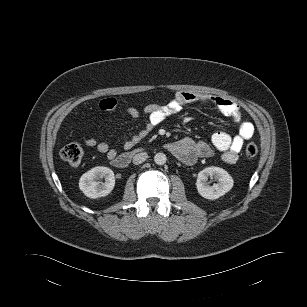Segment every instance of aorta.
Instances as JSON below:
<instances>
[{
  "label": "aorta",
  "instance_id": "762f6f07",
  "mask_svg": "<svg viewBox=\"0 0 307 307\" xmlns=\"http://www.w3.org/2000/svg\"><path fill=\"white\" fill-rule=\"evenodd\" d=\"M166 155L164 153H156L155 156H154V162L157 164V165H164L166 163Z\"/></svg>",
  "mask_w": 307,
  "mask_h": 307
}]
</instances>
